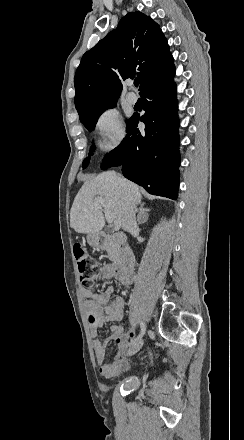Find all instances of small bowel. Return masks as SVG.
<instances>
[{"mask_svg":"<svg viewBox=\"0 0 244 440\" xmlns=\"http://www.w3.org/2000/svg\"><path fill=\"white\" fill-rule=\"evenodd\" d=\"M116 281L126 287L132 285L134 281V271L128 272L117 264H108L103 266L100 275L91 277L92 280H110ZM114 288L109 287L101 292L91 293L87 288L81 287L80 294L83 298V308L88 317L90 333L92 336V345L95 358L99 366V372L104 378H113L127 371L130 362L125 356L128 347V340L132 339L133 333L126 332L122 325L113 324L111 326V336L105 341H100L97 337V330L104 323L118 322L122 320L125 312V301L122 296H116L111 301ZM110 341L116 344V354L111 363H106V347Z\"/></svg>","mask_w":244,"mask_h":440,"instance_id":"obj_1","label":"small bowel"}]
</instances>
